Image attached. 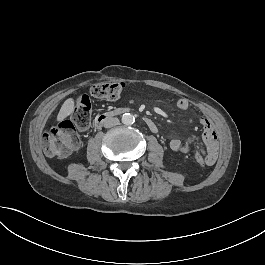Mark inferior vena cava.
<instances>
[{"mask_svg": "<svg viewBox=\"0 0 265 265\" xmlns=\"http://www.w3.org/2000/svg\"><path fill=\"white\" fill-rule=\"evenodd\" d=\"M119 124V119L116 117H108L104 120V127L111 128Z\"/></svg>", "mask_w": 265, "mask_h": 265, "instance_id": "inferior-vena-cava-1", "label": "inferior vena cava"}]
</instances>
